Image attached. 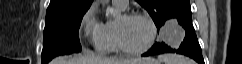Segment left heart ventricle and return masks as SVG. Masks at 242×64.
<instances>
[{"instance_id": "obj_1", "label": "left heart ventricle", "mask_w": 242, "mask_h": 64, "mask_svg": "<svg viewBox=\"0 0 242 64\" xmlns=\"http://www.w3.org/2000/svg\"><path fill=\"white\" fill-rule=\"evenodd\" d=\"M124 43L131 48L144 46L150 36V27L142 19H125L120 17L117 21Z\"/></svg>"}]
</instances>
